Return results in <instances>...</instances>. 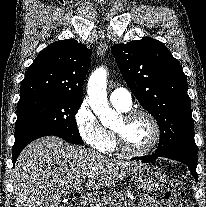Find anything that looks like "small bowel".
<instances>
[{
  "instance_id": "1",
  "label": "small bowel",
  "mask_w": 206,
  "mask_h": 207,
  "mask_svg": "<svg viewBox=\"0 0 206 207\" xmlns=\"http://www.w3.org/2000/svg\"><path fill=\"white\" fill-rule=\"evenodd\" d=\"M137 207H165V205L154 198L143 197L141 203Z\"/></svg>"
}]
</instances>
